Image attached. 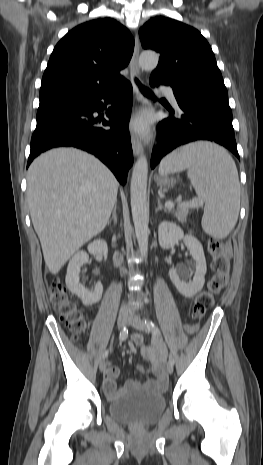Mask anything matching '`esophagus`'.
<instances>
[{
  "instance_id": "esophagus-1",
  "label": "esophagus",
  "mask_w": 263,
  "mask_h": 465,
  "mask_svg": "<svg viewBox=\"0 0 263 465\" xmlns=\"http://www.w3.org/2000/svg\"><path fill=\"white\" fill-rule=\"evenodd\" d=\"M139 51H140L139 38H138V35L136 34L134 52L132 55V59L130 61V70H131L132 77L138 76L140 73L139 65H138ZM133 88H134V93L136 95V98L139 101L141 99L139 88L135 83H133ZM131 143H132V149H133L134 155L136 157L139 156L143 151V147H142V143L140 139L135 134H132L131 136Z\"/></svg>"
}]
</instances>
